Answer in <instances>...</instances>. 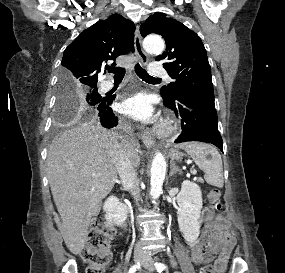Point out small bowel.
<instances>
[{"mask_svg": "<svg viewBox=\"0 0 285 273\" xmlns=\"http://www.w3.org/2000/svg\"><path fill=\"white\" fill-rule=\"evenodd\" d=\"M203 216L205 236L203 242L192 246L191 260L196 265L213 261L217 273H223L235 243L234 238L227 233L229 221L220 215L216 216L208 206L203 208Z\"/></svg>", "mask_w": 285, "mask_h": 273, "instance_id": "1", "label": "small bowel"}]
</instances>
